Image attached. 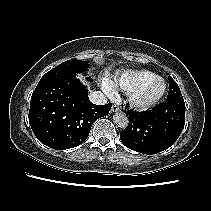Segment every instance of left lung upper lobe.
I'll use <instances>...</instances> for the list:
<instances>
[{"mask_svg": "<svg viewBox=\"0 0 211 211\" xmlns=\"http://www.w3.org/2000/svg\"><path fill=\"white\" fill-rule=\"evenodd\" d=\"M169 92L167 99L170 98H179L182 97L180 88L178 87V84L172 79L171 76H169Z\"/></svg>", "mask_w": 211, "mask_h": 211, "instance_id": "1", "label": "left lung upper lobe"}]
</instances>
